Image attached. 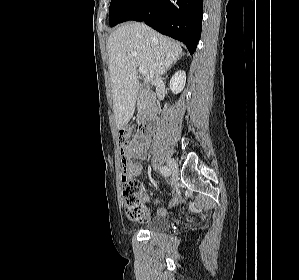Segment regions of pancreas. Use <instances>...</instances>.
<instances>
[{"label":"pancreas","mask_w":299,"mask_h":280,"mask_svg":"<svg viewBox=\"0 0 299 280\" xmlns=\"http://www.w3.org/2000/svg\"><path fill=\"white\" fill-rule=\"evenodd\" d=\"M139 114H141V107H139Z\"/></svg>","instance_id":"cf45deb5"}]
</instances>
